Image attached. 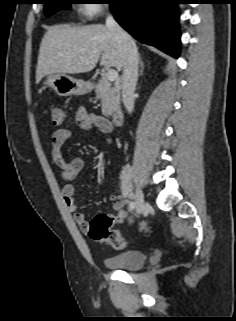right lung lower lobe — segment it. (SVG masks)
Returning a JSON list of instances; mask_svg holds the SVG:
<instances>
[{
    "label": "right lung lower lobe",
    "instance_id": "1",
    "mask_svg": "<svg viewBox=\"0 0 236 321\" xmlns=\"http://www.w3.org/2000/svg\"><path fill=\"white\" fill-rule=\"evenodd\" d=\"M116 21L138 41L178 57L180 32L175 0H110Z\"/></svg>",
    "mask_w": 236,
    "mask_h": 321
}]
</instances>
